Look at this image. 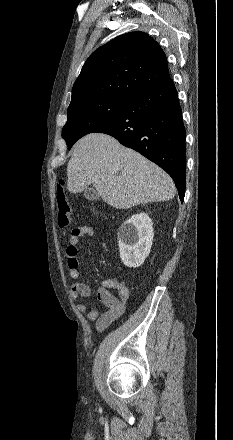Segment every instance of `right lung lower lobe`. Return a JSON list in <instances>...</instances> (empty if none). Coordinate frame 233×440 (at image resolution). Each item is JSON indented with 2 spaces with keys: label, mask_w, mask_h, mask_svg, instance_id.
<instances>
[{
  "label": "right lung lower lobe",
  "mask_w": 233,
  "mask_h": 440,
  "mask_svg": "<svg viewBox=\"0 0 233 440\" xmlns=\"http://www.w3.org/2000/svg\"><path fill=\"white\" fill-rule=\"evenodd\" d=\"M94 132L115 137L163 168L174 180L183 202L186 131L171 79L134 95L114 119Z\"/></svg>",
  "instance_id": "1"
}]
</instances>
